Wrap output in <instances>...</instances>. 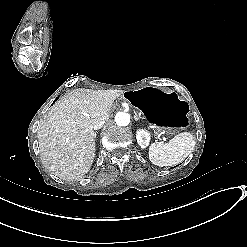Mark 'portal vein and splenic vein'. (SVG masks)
Masks as SVG:
<instances>
[{
	"mask_svg": "<svg viewBox=\"0 0 247 247\" xmlns=\"http://www.w3.org/2000/svg\"><path fill=\"white\" fill-rule=\"evenodd\" d=\"M164 143H167V138H163Z\"/></svg>",
	"mask_w": 247,
	"mask_h": 247,
	"instance_id": "obj_1",
	"label": "portal vein and splenic vein"
}]
</instances>
